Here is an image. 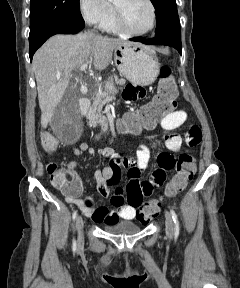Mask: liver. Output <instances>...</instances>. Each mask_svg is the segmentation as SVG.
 <instances>
[{
  "mask_svg": "<svg viewBox=\"0 0 240 288\" xmlns=\"http://www.w3.org/2000/svg\"><path fill=\"white\" fill-rule=\"evenodd\" d=\"M126 43L132 42L85 32L55 35L37 50L32 66L37 82L42 128L47 127L61 103L72 72L85 63L97 71L105 69L112 61L113 50Z\"/></svg>",
  "mask_w": 240,
  "mask_h": 288,
  "instance_id": "liver-1",
  "label": "liver"
}]
</instances>
